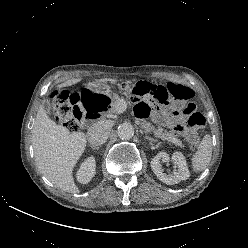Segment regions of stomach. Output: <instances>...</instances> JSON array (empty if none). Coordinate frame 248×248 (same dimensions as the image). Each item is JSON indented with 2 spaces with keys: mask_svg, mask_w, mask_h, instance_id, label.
<instances>
[{
  "mask_svg": "<svg viewBox=\"0 0 248 248\" xmlns=\"http://www.w3.org/2000/svg\"><path fill=\"white\" fill-rule=\"evenodd\" d=\"M108 88V80L102 76L94 77L91 83H82L78 89L82 106L95 114L107 113L111 107Z\"/></svg>",
  "mask_w": 248,
  "mask_h": 248,
  "instance_id": "1",
  "label": "stomach"
}]
</instances>
